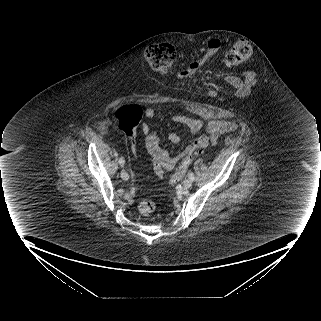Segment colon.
<instances>
[{
    "instance_id": "5ec220e1",
    "label": "colon",
    "mask_w": 321,
    "mask_h": 321,
    "mask_svg": "<svg viewBox=\"0 0 321 321\" xmlns=\"http://www.w3.org/2000/svg\"><path fill=\"white\" fill-rule=\"evenodd\" d=\"M251 46L247 41L236 42L226 53L223 63L226 67L238 66L246 61L251 55ZM145 59L149 66L157 73L169 74L176 59L175 48L171 44L162 43L148 47L145 51ZM143 117V109L136 104H127L120 106L115 112V120L118 128L133 135ZM207 143L206 137H200L196 140L195 146L200 148ZM191 155L184 157L174 174L169 179V184L174 185L179 182L186 173L192 162ZM155 210V203L151 199H143L138 203V211L142 217H149Z\"/></svg>"
}]
</instances>
